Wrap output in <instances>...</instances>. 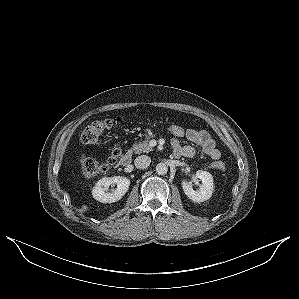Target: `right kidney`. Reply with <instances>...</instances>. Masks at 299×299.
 <instances>
[{
  "mask_svg": "<svg viewBox=\"0 0 299 299\" xmlns=\"http://www.w3.org/2000/svg\"><path fill=\"white\" fill-rule=\"evenodd\" d=\"M116 184L117 188L108 192L110 185ZM130 186V180L126 177H104L100 179L92 189L93 198L102 203H113L122 198Z\"/></svg>",
  "mask_w": 299,
  "mask_h": 299,
  "instance_id": "right-kidney-1",
  "label": "right kidney"
}]
</instances>
